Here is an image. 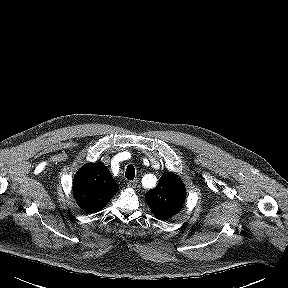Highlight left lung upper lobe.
<instances>
[{
  "instance_id": "left-lung-upper-lobe-1",
  "label": "left lung upper lobe",
  "mask_w": 288,
  "mask_h": 288,
  "mask_svg": "<svg viewBox=\"0 0 288 288\" xmlns=\"http://www.w3.org/2000/svg\"><path fill=\"white\" fill-rule=\"evenodd\" d=\"M185 186L175 174L165 173L158 185L149 190L145 199L158 219H168L177 214L185 201Z\"/></svg>"
}]
</instances>
